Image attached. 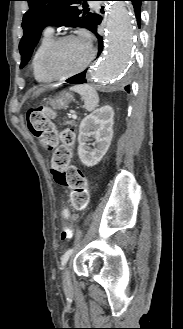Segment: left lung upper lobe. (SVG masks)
I'll list each match as a JSON object with an SVG mask.
<instances>
[{
  "instance_id": "left-lung-upper-lobe-1",
  "label": "left lung upper lobe",
  "mask_w": 183,
  "mask_h": 329,
  "mask_svg": "<svg viewBox=\"0 0 183 329\" xmlns=\"http://www.w3.org/2000/svg\"><path fill=\"white\" fill-rule=\"evenodd\" d=\"M29 10L24 14L22 28L24 35L19 44L21 65L23 68L31 58L33 49L40 39L42 30L48 25L84 27L92 29L95 14L78 8L89 0H26Z\"/></svg>"
}]
</instances>
